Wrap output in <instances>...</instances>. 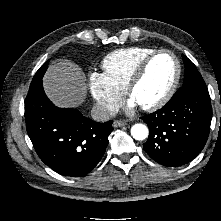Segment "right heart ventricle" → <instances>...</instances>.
Wrapping results in <instances>:
<instances>
[{
    "label": "right heart ventricle",
    "instance_id": "obj_1",
    "mask_svg": "<svg viewBox=\"0 0 221 221\" xmlns=\"http://www.w3.org/2000/svg\"><path fill=\"white\" fill-rule=\"evenodd\" d=\"M154 51L150 47L118 49L104 57L102 68L106 76L124 91L141 61Z\"/></svg>",
    "mask_w": 221,
    "mask_h": 221
}]
</instances>
